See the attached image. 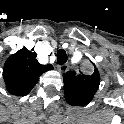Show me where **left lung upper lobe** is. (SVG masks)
I'll list each match as a JSON object with an SVG mask.
<instances>
[{"instance_id": "5c2ea615", "label": "left lung upper lobe", "mask_w": 124, "mask_h": 124, "mask_svg": "<svg viewBox=\"0 0 124 124\" xmlns=\"http://www.w3.org/2000/svg\"><path fill=\"white\" fill-rule=\"evenodd\" d=\"M63 81L66 101L73 106H84L93 99L98 90L100 75L98 70L91 76L69 71L64 75Z\"/></svg>"}]
</instances>
